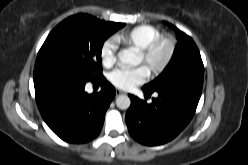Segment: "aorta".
Masks as SVG:
<instances>
[{
	"label": "aorta",
	"mask_w": 248,
	"mask_h": 165,
	"mask_svg": "<svg viewBox=\"0 0 248 165\" xmlns=\"http://www.w3.org/2000/svg\"><path fill=\"white\" fill-rule=\"evenodd\" d=\"M120 62L136 66L140 63L139 56L130 49H124L118 53ZM131 100L127 95H119L116 98V105L119 109L126 110L130 107Z\"/></svg>",
	"instance_id": "aorta-1"
}]
</instances>
